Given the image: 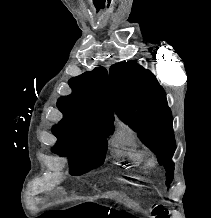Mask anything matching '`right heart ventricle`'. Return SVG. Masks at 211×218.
<instances>
[{
    "instance_id": "right-heart-ventricle-1",
    "label": "right heart ventricle",
    "mask_w": 211,
    "mask_h": 218,
    "mask_svg": "<svg viewBox=\"0 0 211 218\" xmlns=\"http://www.w3.org/2000/svg\"><path fill=\"white\" fill-rule=\"evenodd\" d=\"M117 136L130 143H135V134L132 128L125 122H119L116 130ZM115 152H122V157H126L127 165H136L137 169H145L150 165V160H138L140 154H135V148L131 144H113Z\"/></svg>"
}]
</instances>
